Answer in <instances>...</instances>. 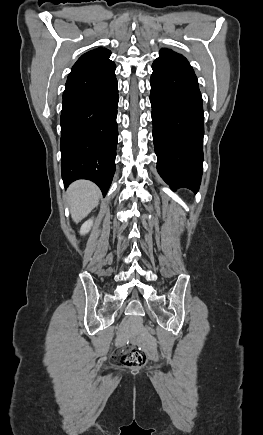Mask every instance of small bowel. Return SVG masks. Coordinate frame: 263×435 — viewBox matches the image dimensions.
I'll return each mask as SVG.
<instances>
[{"instance_id": "obj_1", "label": "small bowel", "mask_w": 263, "mask_h": 435, "mask_svg": "<svg viewBox=\"0 0 263 435\" xmlns=\"http://www.w3.org/2000/svg\"><path fill=\"white\" fill-rule=\"evenodd\" d=\"M136 323H137V325H140V321H137ZM124 339H125V334H124V333L120 334V336H119V341L121 342V341H123ZM144 348H145V350H154V348H155V343H154V341H145V343H144ZM150 358H151L153 361H156V360L159 358V355H158L156 352H153V353L150 355Z\"/></svg>"}]
</instances>
